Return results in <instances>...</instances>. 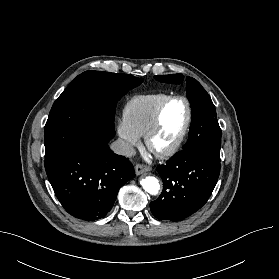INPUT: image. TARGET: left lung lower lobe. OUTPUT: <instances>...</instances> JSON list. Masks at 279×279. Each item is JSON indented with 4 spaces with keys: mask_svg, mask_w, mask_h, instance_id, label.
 I'll use <instances>...</instances> for the list:
<instances>
[{
    "mask_svg": "<svg viewBox=\"0 0 279 279\" xmlns=\"http://www.w3.org/2000/svg\"><path fill=\"white\" fill-rule=\"evenodd\" d=\"M157 171L163 191L150 203L160 220L179 221L198 211L210 197L219 177L220 160L194 150H181Z\"/></svg>",
    "mask_w": 279,
    "mask_h": 279,
    "instance_id": "left-lung-lower-lobe-1",
    "label": "left lung lower lobe"
}]
</instances>
